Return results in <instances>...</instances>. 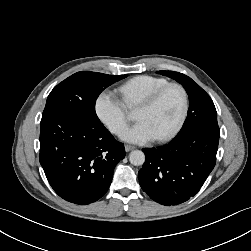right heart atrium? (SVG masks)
I'll return each instance as SVG.
<instances>
[{
	"instance_id": "obj_1",
	"label": "right heart atrium",
	"mask_w": 251,
	"mask_h": 251,
	"mask_svg": "<svg viewBox=\"0 0 251 251\" xmlns=\"http://www.w3.org/2000/svg\"><path fill=\"white\" fill-rule=\"evenodd\" d=\"M94 110L98 119L114 134H120L127 126V107L113 90L105 89L98 94Z\"/></svg>"
}]
</instances>
